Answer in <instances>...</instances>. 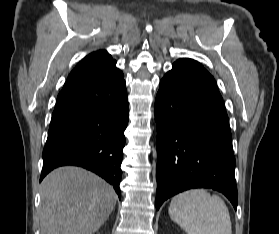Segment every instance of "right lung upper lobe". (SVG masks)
Returning <instances> with one entry per match:
<instances>
[{"label":"right lung upper lobe","mask_w":279,"mask_h":234,"mask_svg":"<svg viewBox=\"0 0 279 234\" xmlns=\"http://www.w3.org/2000/svg\"><path fill=\"white\" fill-rule=\"evenodd\" d=\"M114 64L116 61L105 50L90 53L72 70L64 87L99 76Z\"/></svg>","instance_id":"obj_1"}]
</instances>
